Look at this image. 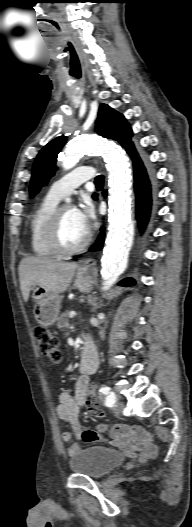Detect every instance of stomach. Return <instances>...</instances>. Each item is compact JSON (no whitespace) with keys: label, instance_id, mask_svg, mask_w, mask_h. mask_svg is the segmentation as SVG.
<instances>
[{"label":"stomach","instance_id":"0dacf381","mask_svg":"<svg viewBox=\"0 0 192 527\" xmlns=\"http://www.w3.org/2000/svg\"><path fill=\"white\" fill-rule=\"evenodd\" d=\"M94 277V273L79 269L74 285L80 291L88 292L92 289ZM32 298L35 302L33 313L36 321L44 327L53 325L58 319L62 297L40 286H34L32 288Z\"/></svg>","mask_w":192,"mask_h":527}]
</instances>
